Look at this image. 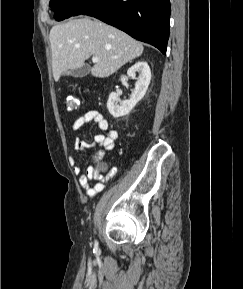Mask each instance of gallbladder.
I'll return each mask as SVG.
<instances>
[{
  "label": "gallbladder",
  "mask_w": 243,
  "mask_h": 289,
  "mask_svg": "<svg viewBox=\"0 0 243 289\" xmlns=\"http://www.w3.org/2000/svg\"><path fill=\"white\" fill-rule=\"evenodd\" d=\"M89 72H90V66L84 65L82 67L69 70V71L65 72L63 75H70V76H73L75 78H81V77H85L86 75H88Z\"/></svg>",
  "instance_id": "bac80fb5"
}]
</instances>
